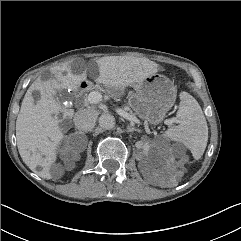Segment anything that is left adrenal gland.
Here are the masks:
<instances>
[{
    "label": "left adrenal gland",
    "mask_w": 241,
    "mask_h": 241,
    "mask_svg": "<svg viewBox=\"0 0 241 241\" xmlns=\"http://www.w3.org/2000/svg\"><path fill=\"white\" fill-rule=\"evenodd\" d=\"M127 129H128L129 132H133V131L140 132L139 129H137V128L133 127V126H129V125H128Z\"/></svg>",
    "instance_id": "left-adrenal-gland-1"
}]
</instances>
